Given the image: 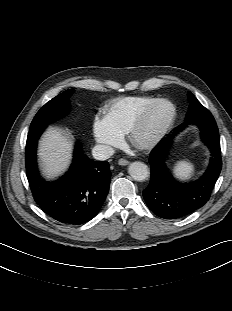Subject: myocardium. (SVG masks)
Listing matches in <instances>:
<instances>
[{
  "mask_svg": "<svg viewBox=\"0 0 232 311\" xmlns=\"http://www.w3.org/2000/svg\"><path fill=\"white\" fill-rule=\"evenodd\" d=\"M161 105L169 106L170 113L168 117L165 119L161 127L153 135H151L149 138L145 140H140L138 138L140 130L146 123L151 113ZM175 117H176V107L170 100L165 98L156 99L155 101L147 105L140 112V114L137 116V118L130 126L127 132V139L130 145L140 150H146L155 147L167 134L168 130L170 129L171 125L174 122Z\"/></svg>",
  "mask_w": 232,
  "mask_h": 311,
  "instance_id": "obj_1",
  "label": "myocardium"
}]
</instances>
